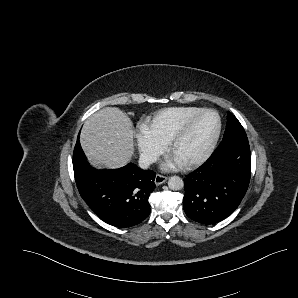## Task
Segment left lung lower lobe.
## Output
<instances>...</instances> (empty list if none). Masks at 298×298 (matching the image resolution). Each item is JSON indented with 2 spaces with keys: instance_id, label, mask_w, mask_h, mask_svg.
Here are the masks:
<instances>
[{
  "instance_id": "1",
  "label": "left lung lower lobe",
  "mask_w": 298,
  "mask_h": 298,
  "mask_svg": "<svg viewBox=\"0 0 298 298\" xmlns=\"http://www.w3.org/2000/svg\"><path fill=\"white\" fill-rule=\"evenodd\" d=\"M251 153L246 133L223 139L211 157L184 179L183 208L201 224H215L240 204L250 181Z\"/></svg>"
}]
</instances>
